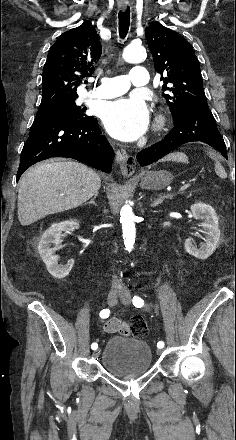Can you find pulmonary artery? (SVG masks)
I'll list each match as a JSON object with an SVG mask.
<instances>
[{
    "label": "pulmonary artery",
    "mask_w": 236,
    "mask_h": 440,
    "mask_svg": "<svg viewBox=\"0 0 236 440\" xmlns=\"http://www.w3.org/2000/svg\"><path fill=\"white\" fill-rule=\"evenodd\" d=\"M148 82L147 69L137 65L127 75L102 78L100 86L89 95L99 99L113 98L126 93L131 87H144Z\"/></svg>",
    "instance_id": "e3ab8cb5"
}]
</instances>
